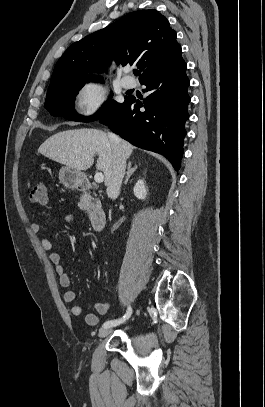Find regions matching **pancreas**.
I'll return each mask as SVG.
<instances>
[{
    "mask_svg": "<svg viewBox=\"0 0 265 407\" xmlns=\"http://www.w3.org/2000/svg\"><path fill=\"white\" fill-rule=\"evenodd\" d=\"M95 203H96V206H100V205H101L99 199H95ZM91 205H92V204H91V199H90L89 197H87V196H82L81 199H80V202H79V204H78V206H79L81 209L86 210V211L89 210V208L91 207Z\"/></svg>",
    "mask_w": 265,
    "mask_h": 407,
    "instance_id": "obj_1",
    "label": "pancreas"
}]
</instances>
